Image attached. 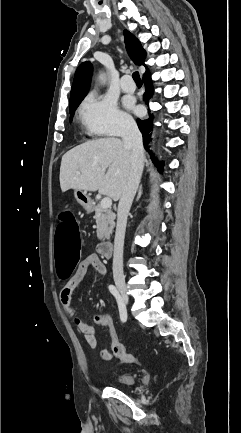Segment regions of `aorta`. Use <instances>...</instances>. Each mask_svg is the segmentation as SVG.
<instances>
[{"mask_svg": "<svg viewBox=\"0 0 241 433\" xmlns=\"http://www.w3.org/2000/svg\"><path fill=\"white\" fill-rule=\"evenodd\" d=\"M100 79H101V80H104V79H105V76H104L103 74H101V75H100Z\"/></svg>", "mask_w": 241, "mask_h": 433, "instance_id": "1", "label": "aorta"}]
</instances>
